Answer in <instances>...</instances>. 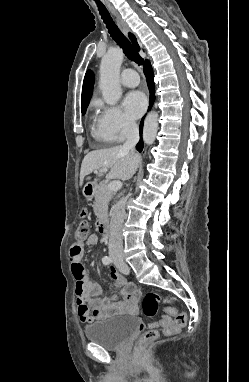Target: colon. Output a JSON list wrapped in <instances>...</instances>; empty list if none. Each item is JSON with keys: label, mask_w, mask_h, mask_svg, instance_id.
<instances>
[{"label": "colon", "mask_w": 249, "mask_h": 382, "mask_svg": "<svg viewBox=\"0 0 249 382\" xmlns=\"http://www.w3.org/2000/svg\"><path fill=\"white\" fill-rule=\"evenodd\" d=\"M89 234V224L86 221H81L76 230V240L78 242H83L87 239ZM162 302V298L159 294L155 292H147L142 299V311L144 315L148 318H153L157 311L160 303ZM174 317V322L172 318ZM186 325V314L183 312L178 313L172 307H166L164 309V315L159 324L150 323V328H157L160 326L163 332L167 335L173 334L179 330H181ZM159 336L158 329H150L143 333L138 341L139 346H144Z\"/></svg>", "instance_id": "1"}]
</instances>
